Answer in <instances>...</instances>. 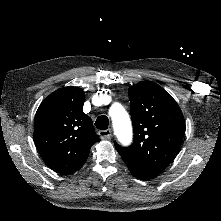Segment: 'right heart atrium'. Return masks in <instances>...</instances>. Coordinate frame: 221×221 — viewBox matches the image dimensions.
<instances>
[{"mask_svg":"<svg viewBox=\"0 0 221 221\" xmlns=\"http://www.w3.org/2000/svg\"><path fill=\"white\" fill-rule=\"evenodd\" d=\"M117 171H118V170H117V168L115 167V168H114V173H117Z\"/></svg>","mask_w":221,"mask_h":221,"instance_id":"1","label":"right heart atrium"}]
</instances>
